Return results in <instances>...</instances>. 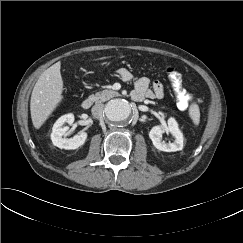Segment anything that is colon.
Returning a JSON list of instances; mask_svg holds the SVG:
<instances>
[{"instance_id": "obj_1", "label": "colon", "mask_w": 243, "mask_h": 243, "mask_svg": "<svg viewBox=\"0 0 243 243\" xmlns=\"http://www.w3.org/2000/svg\"><path fill=\"white\" fill-rule=\"evenodd\" d=\"M166 73H167L168 79L173 87V90L178 97V100L183 105H187L190 101V96L185 92V90L182 87L181 74L173 67H167Z\"/></svg>"}]
</instances>
